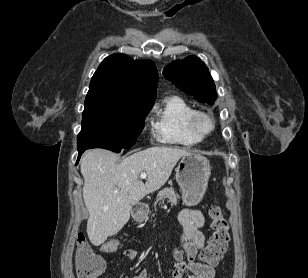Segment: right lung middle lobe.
Returning a JSON list of instances; mask_svg holds the SVG:
<instances>
[{
	"label": "right lung middle lobe",
	"mask_w": 308,
	"mask_h": 278,
	"mask_svg": "<svg viewBox=\"0 0 308 278\" xmlns=\"http://www.w3.org/2000/svg\"><path fill=\"white\" fill-rule=\"evenodd\" d=\"M152 106L153 103L134 112L83 117L77 137L78 150L99 147L118 153L129 149L142 132Z\"/></svg>",
	"instance_id": "1"
}]
</instances>
